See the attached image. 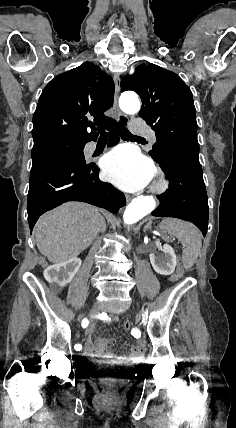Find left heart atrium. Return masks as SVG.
<instances>
[{
  "label": "left heart atrium",
  "mask_w": 236,
  "mask_h": 428,
  "mask_svg": "<svg viewBox=\"0 0 236 428\" xmlns=\"http://www.w3.org/2000/svg\"><path fill=\"white\" fill-rule=\"evenodd\" d=\"M102 172L106 180L131 192L142 190L153 175L150 163L129 146H121L109 152L103 159Z\"/></svg>",
  "instance_id": "left-heart-atrium-1"
}]
</instances>
